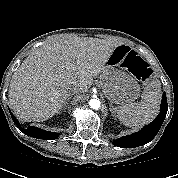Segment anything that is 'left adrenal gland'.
<instances>
[{"label": "left adrenal gland", "mask_w": 178, "mask_h": 178, "mask_svg": "<svg viewBox=\"0 0 178 178\" xmlns=\"http://www.w3.org/2000/svg\"><path fill=\"white\" fill-rule=\"evenodd\" d=\"M110 110L112 111V115H113V113H114V111H113V110H114V108L112 107V108H110ZM113 116H114V115H113Z\"/></svg>", "instance_id": "left-adrenal-gland-1"}]
</instances>
